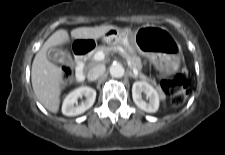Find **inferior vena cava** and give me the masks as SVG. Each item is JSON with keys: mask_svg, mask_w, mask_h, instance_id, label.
Returning <instances> with one entry per match:
<instances>
[{"mask_svg": "<svg viewBox=\"0 0 225 155\" xmlns=\"http://www.w3.org/2000/svg\"><path fill=\"white\" fill-rule=\"evenodd\" d=\"M105 72V66L104 65H96L92 67L88 73H87V79L89 81H95L97 80L100 76H102Z\"/></svg>", "mask_w": 225, "mask_h": 155, "instance_id": "inferior-vena-cava-1", "label": "inferior vena cava"}]
</instances>
